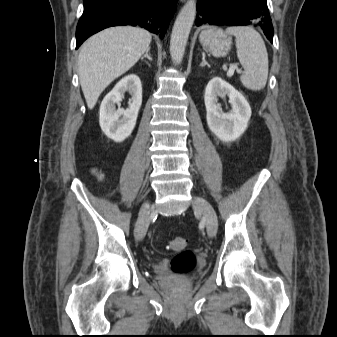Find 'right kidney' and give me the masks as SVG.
<instances>
[{
	"mask_svg": "<svg viewBox=\"0 0 337 337\" xmlns=\"http://www.w3.org/2000/svg\"><path fill=\"white\" fill-rule=\"evenodd\" d=\"M125 92L132 96L129 108L115 109ZM142 104V85L139 77L130 74L122 78L104 97L100 106L99 123L105 135L115 142L124 141L132 133Z\"/></svg>",
	"mask_w": 337,
	"mask_h": 337,
	"instance_id": "1",
	"label": "right kidney"
}]
</instances>
